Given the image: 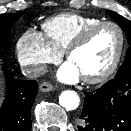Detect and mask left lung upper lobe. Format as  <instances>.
<instances>
[{"label": "left lung upper lobe", "instance_id": "left-lung-upper-lobe-1", "mask_svg": "<svg viewBox=\"0 0 131 131\" xmlns=\"http://www.w3.org/2000/svg\"><path fill=\"white\" fill-rule=\"evenodd\" d=\"M108 14L112 18H114V20L125 32L129 44L126 58L121 67L119 68L116 76H124L131 74V22L115 12L108 11Z\"/></svg>", "mask_w": 131, "mask_h": 131}]
</instances>
